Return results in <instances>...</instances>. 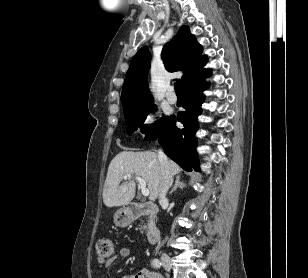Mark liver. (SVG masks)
<instances>
[{
    "label": "liver",
    "mask_w": 308,
    "mask_h": 278,
    "mask_svg": "<svg viewBox=\"0 0 308 278\" xmlns=\"http://www.w3.org/2000/svg\"><path fill=\"white\" fill-rule=\"evenodd\" d=\"M169 170L173 175L181 168L169 160ZM125 174L142 177L148 185L149 200L155 201L159 195L162 170L157 153L153 151H122L111 161L103 189V202L107 207L128 205L135 196L136 184L129 178L121 183Z\"/></svg>",
    "instance_id": "6515ba94"
}]
</instances>
